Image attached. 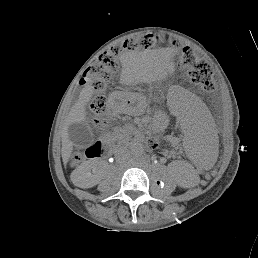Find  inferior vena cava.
Returning a JSON list of instances; mask_svg holds the SVG:
<instances>
[{
	"label": "inferior vena cava",
	"instance_id": "obj_1",
	"mask_svg": "<svg viewBox=\"0 0 258 258\" xmlns=\"http://www.w3.org/2000/svg\"><path fill=\"white\" fill-rule=\"evenodd\" d=\"M125 152H126L125 149H120V150L118 151V155H119V156H122V154L125 153Z\"/></svg>",
	"mask_w": 258,
	"mask_h": 258
}]
</instances>
